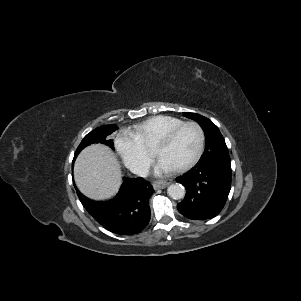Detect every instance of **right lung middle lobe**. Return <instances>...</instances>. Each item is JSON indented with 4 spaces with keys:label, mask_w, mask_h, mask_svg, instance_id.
<instances>
[{
    "label": "right lung middle lobe",
    "mask_w": 301,
    "mask_h": 301,
    "mask_svg": "<svg viewBox=\"0 0 301 301\" xmlns=\"http://www.w3.org/2000/svg\"><path fill=\"white\" fill-rule=\"evenodd\" d=\"M116 125H106L102 126L100 128H97L93 131H91L89 134H87L84 139L81 141L80 145L78 146L74 159L77 157V155L80 153V151L85 148L86 146L92 144V143H103L111 148H113V140L107 139L106 137L110 134H112L115 130H117Z\"/></svg>",
    "instance_id": "dd1d6c3e"
}]
</instances>
